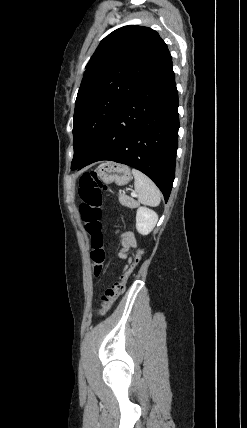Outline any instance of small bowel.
<instances>
[{"label": "small bowel", "instance_id": "obj_1", "mask_svg": "<svg viewBox=\"0 0 247 428\" xmlns=\"http://www.w3.org/2000/svg\"><path fill=\"white\" fill-rule=\"evenodd\" d=\"M121 245L122 248L118 253V257L124 260L127 258L128 251L136 245V240L133 234L130 232L124 233L122 235Z\"/></svg>", "mask_w": 247, "mask_h": 428}]
</instances>
